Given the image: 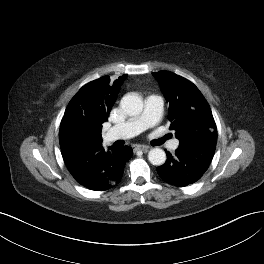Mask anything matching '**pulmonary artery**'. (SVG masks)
I'll return each mask as SVG.
<instances>
[{"instance_id":"e3ab8cb5","label":"pulmonary artery","mask_w":264,"mask_h":264,"mask_svg":"<svg viewBox=\"0 0 264 264\" xmlns=\"http://www.w3.org/2000/svg\"><path fill=\"white\" fill-rule=\"evenodd\" d=\"M164 108V99L158 94H151L145 98V108L141 115L110 128L106 133L108 141L126 139L138 135L144 130L155 126L160 120ZM178 147V141H174L172 148Z\"/></svg>"}]
</instances>
